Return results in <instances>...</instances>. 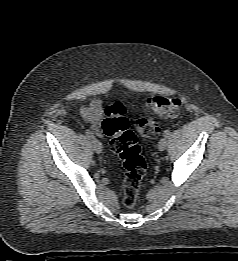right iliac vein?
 I'll return each mask as SVG.
<instances>
[{
	"instance_id": "1",
	"label": "right iliac vein",
	"mask_w": 238,
	"mask_h": 261,
	"mask_svg": "<svg viewBox=\"0 0 238 261\" xmlns=\"http://www.w3.org/2000/svg\"><path fill=\"white\" fill-rule=\"evenodd\" d=\"M92 146H93L94 151L97 154L102 153V144L96 138L92 139Z\"/></svg>"
}]
</instances>
